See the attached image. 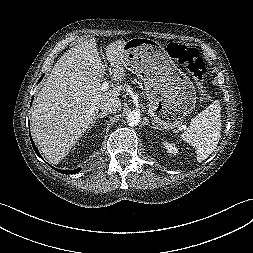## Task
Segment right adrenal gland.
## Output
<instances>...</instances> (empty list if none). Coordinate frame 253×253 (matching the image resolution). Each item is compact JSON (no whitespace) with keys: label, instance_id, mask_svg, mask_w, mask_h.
Masks as SVG:
<instances>
[{"label":"right adrenal gland","instance_id":"2a0ac1e0","mask_svg":"<svg viewBox=\"0 0 253 253\" xmlns=\"http://www.w3.org/2000/svg\"><path fill=\"white\" fill-rule=\"evenodd\" d=\"M106 116H107V114H105V113H100V114L95 118L94 124H95L97 121L100 122V120H101L102 118L106 117ZM94 124H93V126H94Z\"/></svg>","mask_w":253,"mask_h":253}]
</instances>
